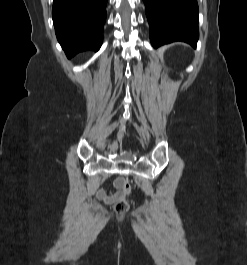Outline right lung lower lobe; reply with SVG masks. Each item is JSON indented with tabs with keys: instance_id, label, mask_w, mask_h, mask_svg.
Returning <instances> with one entry per match:
<instances>
[{
	"instance_id": "1",
	"label": "right lung lower lobe",
	"mask_w": 247,
	"mask_h": 265,
	"mask_svg": "<svg viewBox=\"0 0 247 265\" xmlns=\"http://www.w3.org/2000/svg\"><path fill=\"white\" fill-rule=\"evenodd\" d=\"M108 0H54L56 36L68 58L102 45Z\"/></svg>"
}]
</instances>
